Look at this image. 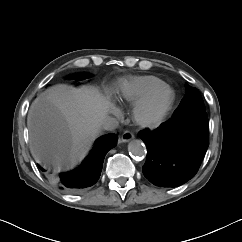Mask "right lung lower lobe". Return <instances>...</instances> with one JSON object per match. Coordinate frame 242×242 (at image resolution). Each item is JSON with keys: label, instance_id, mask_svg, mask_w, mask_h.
I'll list each match as a JSON object with an SVG mask.
<instances>
[{"label": "right lung lower lobe", "instance_id": "right-lung-lower-lobe-1", "mask_svg": "<svg viewBox=\"0 0 242 242\" xmlns=\"http://www.w3.org/2000/svg\"><path fill=\"white\" fill-rule=\"evenodd\" d=\"M117 140L116 134L100 137L80 166L68 172L49 175V178L59 189L67 192H79L92 186L100 177L105 155L116 145Z\"/></svg>", "mask_w": 242, "mask_h": 242}]
</instances>
